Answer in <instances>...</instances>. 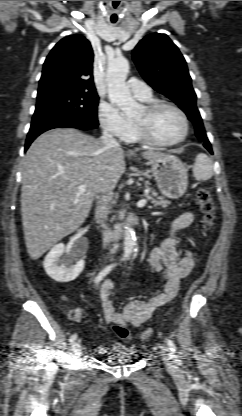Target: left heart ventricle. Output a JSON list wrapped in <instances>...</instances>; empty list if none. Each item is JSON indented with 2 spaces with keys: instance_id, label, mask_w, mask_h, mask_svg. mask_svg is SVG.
Segmentation results:
<instances>
[{
  "instance_id": "left-heart-ventricle-1",
  "label": "left heart ventricle",
  "mask_w": 242,
  "mask_h": 416,
  "mask_svg": "<svg viewBox=\"0 0 242 416\" xmlns=\"http://www.w3.org/2000/svg\"><path fill=\"white\" fill-rule=\"evenodd\" d=\"M134 120L146 122L151 134L161 141H173L183 132L180 116L171 108L162 107L151 115H147L141 108L133 117Z\"/></svg>"
}]
</instances>
